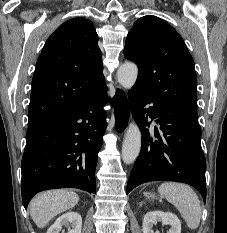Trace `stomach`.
Instances as JSON below:
<instances>
[{
	"instance_id": "obj_1",
	"label": "stomach",
	"mask_w": 227,
	"mask_h": 233,
	"mask_svg": "<svg viewBox=\"0 0 227 233\" xmlns=\"http://www.w3.org/2000/svg\"><path fill=\"white\" fill-rule=\"evenodd\" d=\"M145 196H147L149 199H152V200L155 199V195L153 193H145Z\"/></svg>"
}]
</instances>
